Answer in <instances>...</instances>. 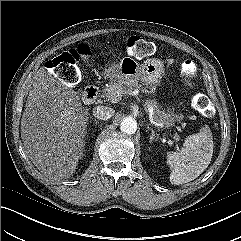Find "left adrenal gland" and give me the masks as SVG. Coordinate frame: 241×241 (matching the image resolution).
Masks as SVG:
<instances>
[{
	"label": "left adrenal gland",
	"mask_w": 241,
	"mask_h": 241,
	"mask_svg": "<svg viewBox=\"0 0 241 241\" xmlns=\"http://www.w3.org/2000/svg\"><path fill=\"white\" fill-rule=\"evenodd\" d=\"M147 128L151 130L150 141H149L151 143L158 135L155 134V131L151 127H149V125H147Z\"/></svg>",
	"instance_id": "obj_1"
}]
</instances>
